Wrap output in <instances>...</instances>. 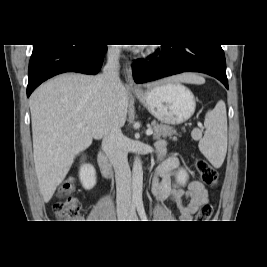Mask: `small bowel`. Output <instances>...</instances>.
<instances>
[{
    "instance_id": "1",
    "label": "small bowel",
    "mask_w": 267,
    "mask_h": 267,
    "mask_svg": "<svg viewBox=\"0 0 267 267\" xmlns=\"http://www.w3.org/2000/svg\"><path fill=\"white\" fill-rule=\"evenodd\" d=\"M156 148L160 163L153 177V191L158 200L173 201L179 209L181 219L189 221L198 208L207 202V190L199 181H191L184 185L175 184L172 178L178 168L177 158L167 155L166 142L163 140L156 143Z\"/></svg>"
}]
</instances>
